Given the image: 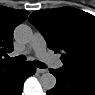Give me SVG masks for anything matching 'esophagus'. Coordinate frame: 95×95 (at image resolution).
I'll list each match as a JSON object with an SVG mask.
<instances>
[{"instance_id": "1", "label": "esophagus", "mask_w": 95, "mask_h": 95, "mask_svg": "<svg viewBox=\"0 0 95 95\" xmlns=\"http://www.w3.org/2000/svg\"><path fill=\"white\" fill-rule=\"evenodd\" d=\"M37 72L42 74V73H46L47 70L46 69L37 68Z\"/></svg>"}]
</instances>
